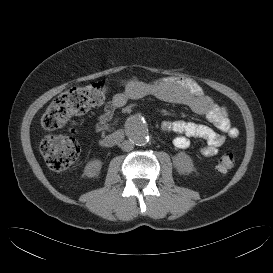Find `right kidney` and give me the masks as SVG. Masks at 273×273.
I'll list each match as a JSON object with an SVG mask.
<instances>
[{"label": "right kidney", "instance_id": "obj_1", "mask_svg": "<svg viewBox=\"0 0 273 273\" xmlns=\"http://www.w3.org/2000/svg\"><path fill=\"white\" fill-rule=\"evenodd\" d=\"M102 168V162L98 159H94L89 161L85 168H84V174L87 177H94L100 173V170Z\"/></svg>", "mask_w": 273, "mask_h": 273}]
</instances>
